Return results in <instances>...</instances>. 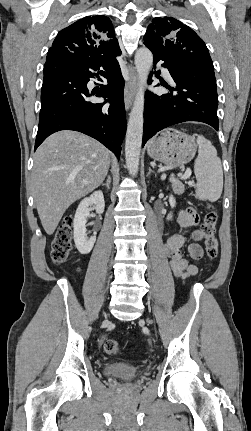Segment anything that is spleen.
Returning <instances> with one entry per match:
<instances>
[{
	"mask_svg": "<svg viewBox=\"0 0 251 431\" xmlns=\"http://www.w3.org/2000/svg\"><path fill=\"white\" fill-rule=\"evenodd\" d=\"M198 156L194 164L197 179L195 197L199 200L217 201L223 190V170L220 158L212 143L199 135Z\"/></svg>",
	"mask_w": 251,
	"mask_h": 431,
	"instance_id": "1",
	"label": "spleen"
}]
</instances>
